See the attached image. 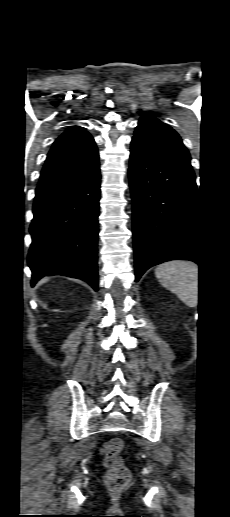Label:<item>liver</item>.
I'll use <instances>...</instances> for the list:
<instances>
[{
	"instance_id": "1",
	"label": "liver",
	"mask_w": 230,
	"mask_h": 517,
	"mask_svg": "<svg viewBox=\"0 0 230 517\" xmlns=\"http://www.w3.org/2000/svg\"><path fill=\"white\" fill-rule=\"evenodd\" d=\"M47 281H48V278H43V279L40 281V283H45V282H47Z\"/></svg>"
}]
</instances>
